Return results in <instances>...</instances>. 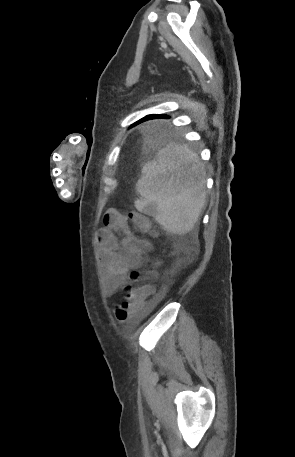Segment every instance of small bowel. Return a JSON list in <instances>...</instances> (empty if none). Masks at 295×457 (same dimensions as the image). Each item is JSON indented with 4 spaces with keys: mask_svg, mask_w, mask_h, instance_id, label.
<instances>
[{
    "mask_svg": "<svg viewBox=\"0 0 295 457\" xmlns=\"http://www.w3.org/2000/svg\"><path fill=\"white\" fill-rule=\"evenodd\" d=\"M98 232L100 260L109 296L127 286V275L139 268L151 250L150 242L135 235L125 214L109 208Z\"/></svg>",
    "mask_w": 295,
    "mask_h": 457,
    "instance_id": "obj_1",
    "label": "small bowel"
}]
</instances>
